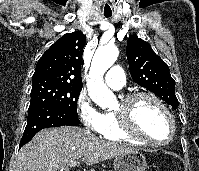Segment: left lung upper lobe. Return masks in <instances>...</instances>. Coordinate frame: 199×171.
Returning a JSON list of instances; mask_svg holds the SVG:
<instances>
[{
  "label": "left lung upper lobe",
  "instance_id": "left-lung-upper-lobe-1",
  "mask_svg": "<svg viewBox=\"0 0 199 171\" xmlns=\"http://www.w3.org/2000/svg\"><path fill=\"white\" fill-rule=\"evenodd\" d=\"M126 54L132 79L176 109L179 103L175 95V81L168 65L154 53L150 44L131 35Z\"/></svg>",
  "mask_w": 199,
  "mask_h": 171
}]
</instances>
